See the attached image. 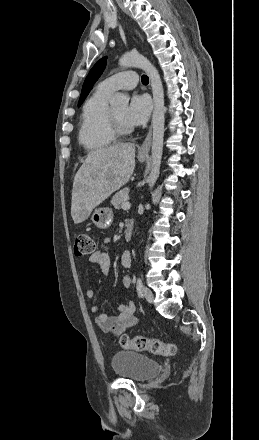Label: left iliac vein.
<instances>
[{"mask_svg":"<svg viewBox=\"0 0 259 440\" xmlns=\"http://www.w3.org/2000/svg\"><path fill=\"white\" fill-rule=\"evenodd\" d=\"M143 295H144V298L147 302H149V303L153 302V300H154L153 292L150 289H148L147 287L143 288Z\"/></svg>","mask_w":259,"mask_h":440,"instance_id":"obj_1","label":"left iliac vein"}]
</instances>
